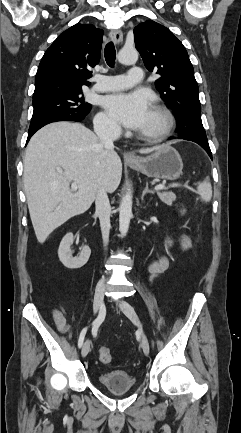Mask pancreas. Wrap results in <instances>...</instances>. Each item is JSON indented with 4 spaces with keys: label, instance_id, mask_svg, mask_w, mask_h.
<instances>
[{
    "label": "pancreas",
    "instance_id": "1",
    "mask_svg": "<svg viewBox=\"0 0 241 433\" xmlns=\"http://www.w3.org/2000/svg\"><path fill=\"white\" fill-rule=\"evenodd\" d=\"M157 195L163 203L169 206L176 200V195L173 192H158Z\"/></svg>",
    "mask_w": 241,
    "mask_h": 433
}]
</instances>
